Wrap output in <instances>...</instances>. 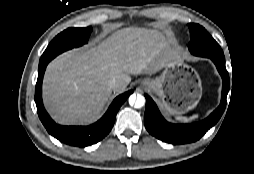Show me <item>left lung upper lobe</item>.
Masks as SVG:
<instances>
[{"label": "left lung upper lobe", "mask_w": 254, "mask_h": 174, "mask_svg": "<svg viewBox=\"0 0 254 174\" xmlns=\"http://www.w3.org/2000/svg\"><path fill=\"white\" fill-rule=\"evenodd\" d=\"M190 29V43L188 48L196 56L223 58L224 54L219 44L199 24H188Z\"/></svg>", "instance_id": "left-lung-upper-lobe-1"}]
</instances>
